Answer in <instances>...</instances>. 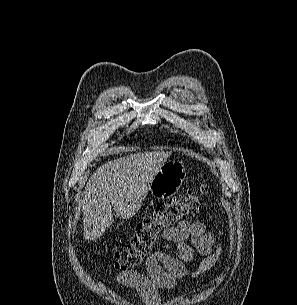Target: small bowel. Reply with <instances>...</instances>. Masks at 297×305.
Listing matches in <instances>:
<instances>
[{
	"mask_svg": "<svg viewBox=\"0 0 297 305\" xmlns=\"http://www.w3.org/2000/svg\"><path fill=\"white\" fill-rule=\"evenodd\" d=\"M163 239L165 247L172 249L174 254L163 250L154 252L146 259L144 273L127 270L116 275L118 284L136 290L146 305L159 304V289L173 288L186 276L198 279L222 254V246L200 221H181L166 230ZM195 255H201L203 259L194 271H190L189 265Z\"/></svg>",
	"mask_w": 297,
	"mask_h": 305,
	"instance_id": "obj_1",
	"label": "small bowel"
}]
</instances>
